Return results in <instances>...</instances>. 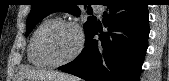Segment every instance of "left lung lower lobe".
Instances as JSON below:
<instances>
[{"instance_id": "obj_1", "label": "left lung lower lobe", "mask_w": 169, "mask_h": 81, "mask_svg": "<svg viewBox=\"0 0 169 81\" xmlns=\"http://www.w3.org/2000/svg\"><path fill=\"white\" fill-rule=\"evenodd\" d=\"M102 5L108 32L94 40L100 31L95 23L81 54L58 69L87 81H139L148 47V5L143 0H103Z\"/></svg>"}]
</instances>
